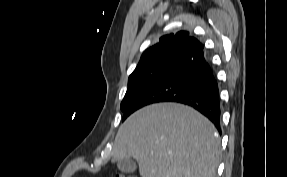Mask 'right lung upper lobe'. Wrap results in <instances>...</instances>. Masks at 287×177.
I'll use <instances>...</instances> for the list:
<instances>
[{
    "label": "right lung upper lobe",
    "instance_id": "cb5924a9",
    "mask_svg": "<svg viewBox=\"0 0 287 177\" xmlns=\"http://www.w3.org/2000/svg\"><path fill=\"white\" fill-rule=\"evenodd\" d=\"M202 49L203 45L189 32L180 31L176 34L164 35L159 42L145 50L134 71L167 58H178L181 62L192 60Z\"/></svg>",
    "mask_w": 287,
    "mask_h": 177
}]
</instances>
